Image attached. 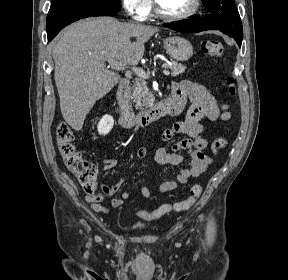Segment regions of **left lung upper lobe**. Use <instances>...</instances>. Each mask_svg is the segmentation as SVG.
Masks as SVG:
<instances>
[{"mask_svg": "<svg viewBox=\"0 0 288 280\" xmlns=\"http://www.w3.org/2000/svg\"><path fill=\"white\" fill-rule=\"evenodd\" d=\"M211 13L205 18L230 37L243 39L242 22L234 0H202Z\"/></svg>", "mask_w": 288, "mask_h": 280, "instance_id": "left-lung-upper-lobe-1", "label": "left lung upper lobe"}]
</instances>
